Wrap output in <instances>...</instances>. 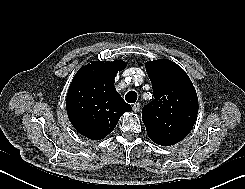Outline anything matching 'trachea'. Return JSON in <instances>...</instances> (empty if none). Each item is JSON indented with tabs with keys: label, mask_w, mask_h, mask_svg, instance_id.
Returning a JSON list of instances; mask_svg holds the SVG:
<instances>
[{
	"label": "trachea",
	"mask_w": 245,
	"mask_h": 189,
	"mask_svg": "<svg viewBox=\"0 0 245 189\" xmlns=\"http://www.w3.org/2000/svg\"><path fill=\"white\" fill-rule=\"evenodd\" d=\"M125 100L128 103H135L137 100V93L135 91H129L126 95H125Z\"/></svg>",
	"instance_id": "trachea-1"
}]
</instances>
